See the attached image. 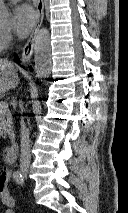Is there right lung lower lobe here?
<instances>
[{"mask_svg":"<svg viewBox=\"0 0 128 213\" xmlns=\"http://www.w3.org/2000/svg\"><path fill=\"white\" fill-rule=\"evenodd\" d=\"M15 59H16L17 61L19 60L17 56H15Z\"/></svg>","mask_w":128,"mask_h":213,"instance_id":"98d812e1","label":"right lung lower lobe"}]
</instances>
